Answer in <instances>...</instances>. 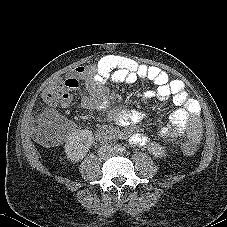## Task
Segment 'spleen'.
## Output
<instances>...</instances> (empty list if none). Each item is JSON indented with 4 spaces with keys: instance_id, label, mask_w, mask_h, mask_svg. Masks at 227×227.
I'll use <instances>...</instances> for the list:
<instances>
[{
    "instance_id": "obj_1",
    "label": "spleen",
    "mask_w": 227,
    "mask_h": 227,
    "mask_svg": "<svg viewBox=\"0 0 227 227\" xmlns=\"http://www.w3.org/2000/svg\"><path fill=\"white\" fill-rule=\"evenodd\" d=\"M184 136L191 143H198L205 136V124L198 117H191L184 124Z\"/></svg>"
}]
</instances>
